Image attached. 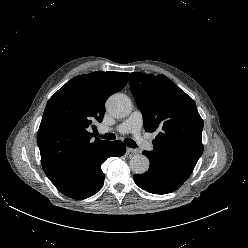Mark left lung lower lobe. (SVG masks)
Masks as SVG:
<instances>
[{
	"instance_id": "1",
	"label": "left lung lower lobe",
	"mask_w": 248,
	"mask_h": 248,
	"mask_svg": "<svg viewBox=\"0 0 248 248\" xmlns=\"http://www.w3.org/2000/svg\"><path fill=\"white\" fill-rule=\"evenodd\" d=\"M143 154L147 156L146 151ZM134 181L140 188L153 194L173 192L184 183L155 161H150L147 172L134 175Z\"/></svg>"
}]
</instances>
